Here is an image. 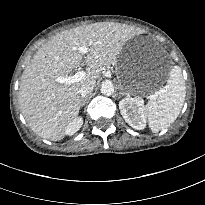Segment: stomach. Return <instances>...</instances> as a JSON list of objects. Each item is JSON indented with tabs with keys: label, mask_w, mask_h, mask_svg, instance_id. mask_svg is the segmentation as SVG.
Returning <instances> with one entry per match:
<instances>
[{
	"label": "stomach",
	"mask_w": 205,
	"mask_h": 205,
	"mask_svg": "<svg viewBox=\"0 0 205 205\" xmlns=\"http://www.w3.org/2000/svg\"><path fill=\"white\" fill-rule=\"evenodd\" d=\"M143 42L144 39L139 38L138 42H128L122 48L118 56L117 74L128 92L151 94L158 90L159 86L143 80L139 71L140 67L152 64L154 51Z\"/></svg>",
	"instance_id": "0dacf381"
}]
</instances>
